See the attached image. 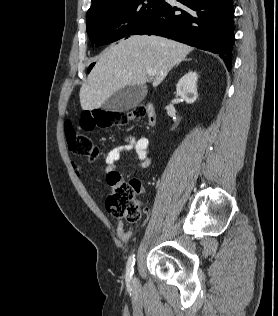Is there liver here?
<instances>
[{
	"mask_svg": "<svg viewBox=\"0 0 278 316\" xmlns=\"http://www.w3.org/2000/svg\"><path fill=\"white\" fill-rule=\"evenodd\" d=\"M192 50L188 45L155 35H134L120 40L103 51L80 88L82 109L100 108L125 86L145 85L147 71L151 69L156 71L153 86L157 87Z\"/></svg>",
	"mask_w": 278,
	"mask_h": 316,
	"instance_id": "1",
	"label": "liver"
}]
</instances>
